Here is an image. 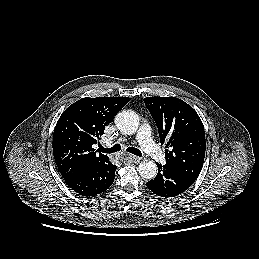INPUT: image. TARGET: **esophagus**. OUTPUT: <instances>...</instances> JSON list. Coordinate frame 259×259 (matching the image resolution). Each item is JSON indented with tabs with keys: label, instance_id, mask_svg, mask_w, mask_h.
<instances>
[{
	"label": "esophagus",
	"instance_id": "obj_1",
	"mask_svg": "<svg viewBox=\"0 0 259 259\" xmlns=\"http://www.w3.org/2000/svg\"><path fill=\"white\" fill-rule=\"evenodd\" d=\"M127 160H128L129 163H134V164H137V163L140 162V158L136 157V156H133V155H128Z\"/></svg>",
	"mask_w": 259,
	"mask_h": 259
}]
</instances>
